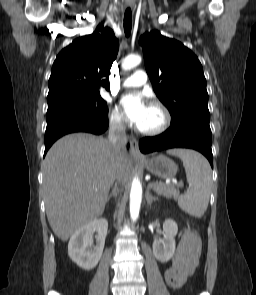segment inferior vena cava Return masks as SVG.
I'll return each instance as SVG.
<instances>
[{
  "instance_id": "obj_1",
  "label": "inferior vena cava",
  "mask_w": 256,
  "mask_h": 295,
  "mask_svg": "<svg viewBox=\"0 0 256 295\" xmlns=\"http://www.w3.org/2000/svg\"><path fill=\"white\" fill-rule=\"evenodd\" d=\"M108 140L111 145L112 155L114 159V164H111V176L113 183L115 180L119 181V177H121V159L119 158L121 156V152L125 149V145L127 142L125 126L120 118H115L111 121Z\"/></svg>"
}]
</instances>
